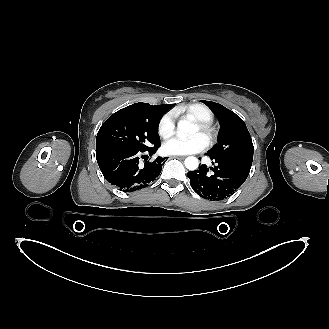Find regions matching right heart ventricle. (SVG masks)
<instances>
[{
  "label": "right heart ventricle",
  "mask_w": 329,
  "mask_h": 329,
  "mask_svg": "<svg viewBox=\"0 0 329 329\" xmlns=\"http://www.w3.org/2000/svg\"><path fill=\"white\" fill-rule=\"evenodd\" d=\"M177 113L184 114V116L190 117L195 121L212 122L214 118L213 112L201 103H194L180 107L177 110Z\"/></svg>",
  "instance_id": "1"
}]
</instances>
